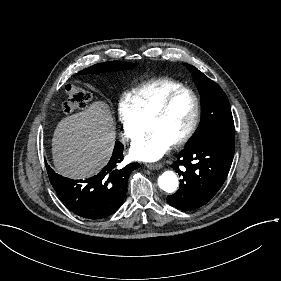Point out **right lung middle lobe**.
<instances>
[{
	"mask_svg": "<svg viewBox=\"0 0 281 281\" xmlns=\"http://www.w3.org/2000/svg\"><path fill=\"white\" fill-rule=\"evenodd\" d=\"M137 63H128L121 61L105 62L93 65L85 70L80 71L78 74H90V73H101L111 72L117 70H126L136 66Z\"/></svg>",
	"mask_w": 281,
	"mask_h": 281,
	"instance_id": "1",
	"label": "right lung middle lobe"
}]
</instances>
